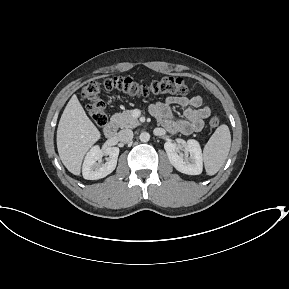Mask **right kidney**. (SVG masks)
<instances>
[{"mask_svg": "<svg viewBox=\"0 0 289 289\" xmlns=\"http://www.w3.org/2000/svg\"><path fill=\"white\" fill-rule=\"evenodd\" d=\"M103 155H108L105 163H101ZM118 155V147H104L100 149L98 145L93 146L83 162V177L87 180H98L106 177L115 170Z\"/></svg>", "mask_w": 289, "mask_h": 289, "instance_id": "right-kidney-1", "label": "right kidney"}]
</instances>
